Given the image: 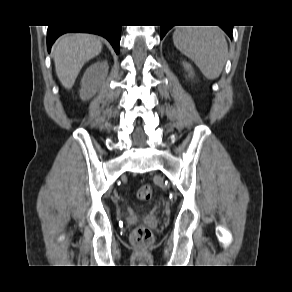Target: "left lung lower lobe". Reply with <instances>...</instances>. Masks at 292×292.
<instances>
[{"mask_svg":"<svg viewBox=\"0 0 292 292\" xmlns=\"http://www.w3.org/2000/svg\"><path fill=\"white\" fill-rule=\"evenodd\" d=\"M172 26H161V39L164 37V35L167 33V31L171 28ZM230 37H232V26H220Z\"/></svg>","mask_w":292,"mask_h":292,"instance_id":"0a47b994","label":"left lung lower lobe"}]
</instances>
